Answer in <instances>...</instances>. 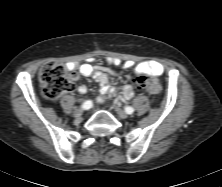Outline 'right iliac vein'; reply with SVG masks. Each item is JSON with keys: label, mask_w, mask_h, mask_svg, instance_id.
<instances>
[{"label": "right iliac vein", "mask_w": 222, "mask_h": 187, "mask_svg": "<svg viewBox=\"0 0 222 187\" xmlns=\"http://www.w3.org/2000/svg\"><path fill=\"white\" fill-rule=\"evenodd\" d=\"M73 114L75 117H80L83 114V109L81 108L75 109Z\"/></svg>", "instance_id": "right-iliac-vein-1"}]
</instances>
